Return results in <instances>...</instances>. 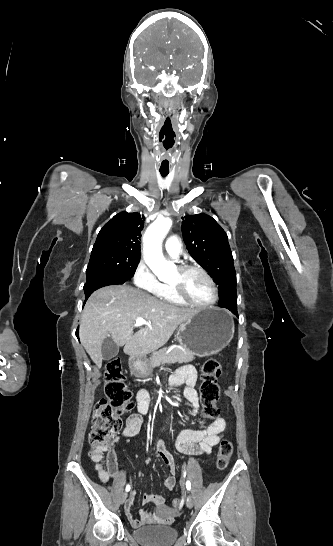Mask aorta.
Returning <instances> with one entry per match:
<instances>
[{"mask_svg":"<svg viewBox=\"0 0 333 546\" xmlns=\"http://www.w3.org/2000/svg\"><path fill=\"white\" fill-rule=\"evenodd\" d=\"M171 226V219L157 218L148 227L143 238L145 262L160 280L168 279L176 273V265L164 258L161 247Z\"/></svg>","mask_w":333,"mask_h":546,"instance_id":"obj_1","label":"aorta"}]
</instances>
